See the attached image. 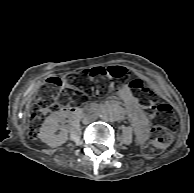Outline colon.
<instances>
[{"mask_svg":"<svg viewBox=\"0 0 194 193\" xmlns=\"http://www.w3.org/2000/svg\"><path fill=\"white\" fill-rule=\"evenodd\" d=\"M128 75V69L112 65L107 67H93L83 72L85 79L95 80L99 85H103L106 79L122 80ZM78 77L74 74H68L63 78H48L40 91L36 106L34 107L28 124V132L32 138L38 134L39 128L44 119L52 112L56 111L61 105H66L72 96L81 94L90 95L88 90L77 88ZM129 87L134 92H140L144 95L139 99L147 114L153 118H159L162 123L155 124L152 129V139L146 146L145 152L148 155H156L167 148L174 140L175 124L172 118V108L165 103H160L150 90L149 86L140 78L130 81ZM68 88V90H65Z\"/></svg>","mask_w":194,"mask_h":193,"instance_id":"1","label":"colon"}]
</instances>
